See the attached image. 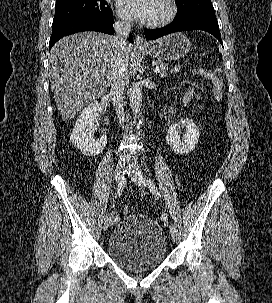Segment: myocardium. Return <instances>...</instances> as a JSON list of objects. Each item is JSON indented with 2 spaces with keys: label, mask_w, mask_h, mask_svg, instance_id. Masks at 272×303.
<instances>
[{
  "label": "myocardium",
  "mask_w": 272,
  "mask_h": 303,
  "mask_svg": "<svg viewBox=\"0 0 272 303\" xmlns=\"http://www.w3.org/2000/svg\"><path fill=\"white\" fill-rule=\"evenodd\" d=\"M164 4L166 5V12L165 14L150 22V26L157 27V26H164L169 24L174 20L177 15L178 7L175 0H163Z\"/></svg>",
  "instance_id": "f54148a6"
}]
</instances>
